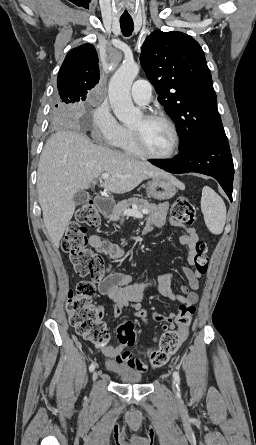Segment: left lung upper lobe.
I'll return each mask as SVG.
<instances>
[{
  "label": "left lung upper lobe",
  "mask_w": 256,
  "mask_h": 445,
  "mask_svg": "<svg viewBox=\"0 0 256 445\" xmlns=\"http://www.w3.org/2000/svg\"><path fill=\"white\" fill-rule=\"evenodd\" d=\"M141 65L176 123L180 150L199 137L225 134L212 77L199 43L182 32H152Z\"/></svg>",
  "instance_id": "1"
}]
</instances>
